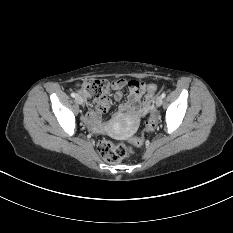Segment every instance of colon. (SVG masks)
<instances>
[{
  "mask_svg": "<svg viewBox=\"0 0 233 233\" xmlns=\"http://www.w3.org/2000/svg\"><path fill=\"white\" fill-rule=\"evenodd\" d=\"M112 88L111 82L104 79H88L80 87L87 100H104L108 98ZM158 86L154 83L149 84L146 89V95L143 98V108L147 112L151 110V100L157 91ZM156 118L150 115L145 126L146 131H152L156 127ZM144 143V137L139 136L132 139L129 143H114L109 140H102L98 144L100 156L109 163L121 162L133 153V146H141Z\"/></svg>",
  "mask_w": 233,
  "mask_h": 233,
  "instance_id": "1",
  "label": "colon"
}]
</instances>
